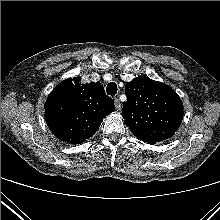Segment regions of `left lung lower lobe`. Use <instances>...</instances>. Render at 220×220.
I'll list each match as a JSON object with an SVG mask.
<instances>
[{
  "instance_id": "0a47b994",
  "label": "left lung lower lobe",
  "mask_w": 220,
  "mask_h": 220,
  "mask_svg": "<svg viewBox=\"0 0 220 220\" xmlns=\"http://www.w3.org/2000/svg\"><path fill=\"white\" fill-rule=\"evenodd\" d=\"M144 142H147V143H149V144H154V143H156V142H152V141H144Z\"/></svg>"
}]
</instances>
